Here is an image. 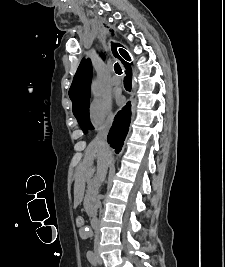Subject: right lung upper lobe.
<instances>
[{"instance_id": "obj_1", "label": "right lung upper lobe", "mask_w": 225, "mask_h": 267, "mask_svg": "<svg viewBox=\"0 0 225 267\" xmlns=\"http://www.w3.org/2000/svg\"><path fill=\"white\" fill-rule=\"evenodd\" d=\"M123 64L125 67L129 66V63L127 62H123ZM91 78H92L91 61L90 59L86 60L83 59L77 69L72 85L69 89V97L73 105L77 104L84 97L90 94Z\"/></svg>"}]
</instances>
